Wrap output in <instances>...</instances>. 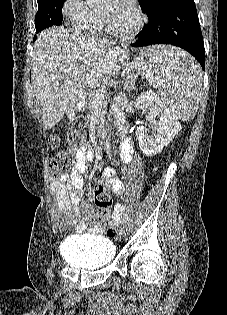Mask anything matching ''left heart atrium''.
I'll list each match as a JSON object with an SVG mask.
<instances>
[{"label":"left heart atrium","mask_w":227,"mask_h":315,"mask_svg":"<svg viewBox=\"0 0 227 315\" xmlns=\"http://www.w3.org/2000/svg\"><path fill=\"white\" fill-rule=\"evenodd\" d=\"M117 5H130L131 0H115Z\"/></svg>","instance_id":"left-heart-atrium-1"}]
</instances>
